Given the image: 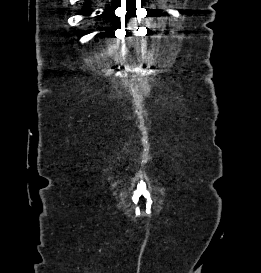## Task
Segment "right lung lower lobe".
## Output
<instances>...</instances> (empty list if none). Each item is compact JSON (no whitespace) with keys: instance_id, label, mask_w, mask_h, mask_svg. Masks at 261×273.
I'll use <instances>...</instances> for the list:
<instances>
[{"instance_id":"obj_1","label":"right lung lower lobe","mask_w":261,"mask_h":273,"mask_svg":"<svg viewBox=\"0 0 261 273\" xmlns=\"http://www.w3.org/2000/svg\"><path fill=\"white\" fill-rule=\"evenodd\" d=\"M86 1L88 2L89 0H86ZM91 12H92V10L90 9L89 6H86L82 11V13L85 15H89Z\"/></svg>"}]
</instances>
